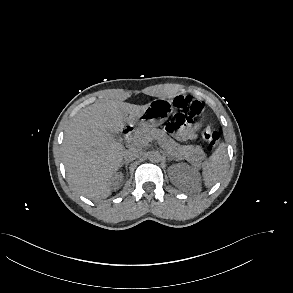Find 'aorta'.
Instances as JSON below:
<instances>
[{
	"label": "aorta",
	"mask_w": 293,
	"mask_h": 293,
	"mask_svg": "<svg viewBox=\"0 0 293 293\" xmlns=\"http://www.w3.org/2000/svg\"><path fill=\"white\" fill-rule=\"evenodd\" d=\"M161 158H162V156H161V154H160L159 151H151V152H149V154H148V159H149L151 162H153V163H158V162H160V161H161Z\"/></svg>",
	"instance_id": "aorta-1"
}]
</instances>
